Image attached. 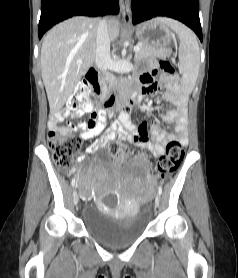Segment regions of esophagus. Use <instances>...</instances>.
Listing matches in <instances>:
<instances>
[{
    "label": "esophagus",
    "instance_id": "1",
    "mask_svg": "<svg viewBox=\"0 0 238 278\" xmlns=\"http://www.w3.org/2000/svg\"><path fill=\"white\" fill-rule=\"evenodd\" d=\"M124 21L131 22L130 0H119Z\"/></svg>",
    "mask_w": 238,
    "mask_h": 278
}]
</instances>
